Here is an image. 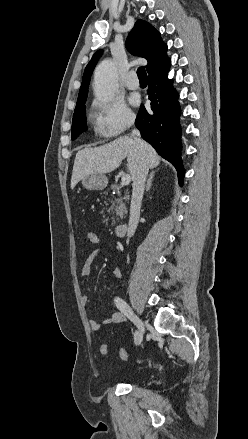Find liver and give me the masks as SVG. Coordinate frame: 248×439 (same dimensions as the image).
<instances>
[{
  "label": "liver",
  "instance_id": "6515ba94",
  "mask_svg": "<svg viewBox=\"0 0 248 439\" xmlns=\"http://www.w3.org/2000/svg\"><path fill=\"white\" fill-rule=\"evenodd\" d=\"M142 143L149 168H155L160 163V157L150 144L144 141ZM126 157L127 168L133 178L141 157L140 149L133 138L123 136L100 147L79 150L74 161L71 188L74 189L80 180L90 174L112 172Z\"/></svg>",
  "mask_w": 248,
  "mask_h": 439
}]
</instances>
